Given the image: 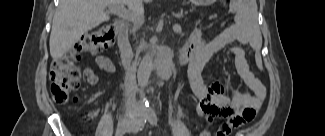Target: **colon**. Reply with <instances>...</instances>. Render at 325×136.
I'll return each mask as SVG.
<instances>
[{
  "mask_svg": "<svg viewBox=\"0 0 325 136\" xmlns=\"http://www.w3.org/2000/svg\"><path fill=\"white\" fill-rule=\"evenodd\" d=\"M118 35L114 25H105L84 34L75 45L61 58L56 59L50 68L51 94L56 102L68 101L78 88L81 70L75 64V56L82 53H95L114 45ZM200 136H212L209 130H203Z\"/></svg>",
  "mask_w": 325,
  "mask_h": 136,
  "instance_id": "1",
  "label": "colon"
}]
</instances>
